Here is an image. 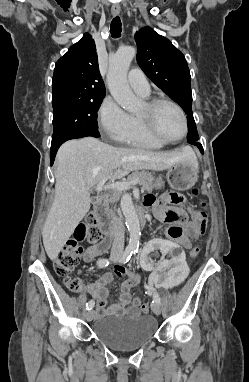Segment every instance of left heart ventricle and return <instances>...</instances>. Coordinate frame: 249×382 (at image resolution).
I'll return each instance as SVG.
<instances>
[{"label":"left heart ventricle","mask_w":249,"mask_h":382,"mask_svg":"<svg viewBox=\"0 0 249 382\" xmlns=\"http://www.w3.org/2000/svg\"><path fill=\"white\" fill-rule=\"evenodd\" d=\"M145 113L146 105L142 107L138 115ZM154 121L159 133L166 138L176 139L183 133V122L178 111L168 104H162L155 110Z\"/></svg>","instance_id":"1"}]
</instances>
